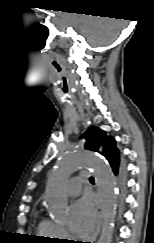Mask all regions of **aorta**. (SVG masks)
Instances as JSON below:
<instances>
[{
    "instance_id": "762f6f07",
    "label": "aorta",
    "mask_w": 154,
    "mask_h": 243,
    "mask_svg": "<svg viewBox=\"0 0 154 243\" xmlns=\"http://www.w3.org/2000/svg\"><path fill=\"white\" fill-rule=\"evenodd\" d=\"M93 170L101 198L102 229L97 243H110L116 215L115 178L111 167L103 159L88 151L67 153L57 162L56 169L49 176L46 190L47 209L55 220H63L68 212L64 186L69 177L80 168Z\"/></svg>"
}]
</instances>
